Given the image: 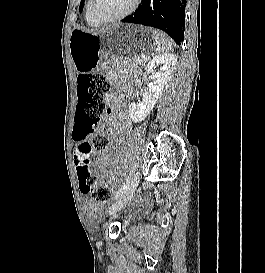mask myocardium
<instances>
[{
  "label": "myocardium",
  "instance_id": "obj_1",
  "mask_svg": "<svg viewBox=\"0 0 265 273\" xmlns=\"http://www.w3.org/2000/svg\"><path fill=\"white\" fill-rule=\"evenodd\" d=\"M140 1L141 0H134L131 7L128 10H126L125 12H123L117 16L110 17V18H102L95 13L94 6L96 3V0H89L88 12H89L90 16L99 24L114 23V22L123 20V19L127 18L128 16H130L137 9V7L140 4Z\"/></svg>",
  "mask_w": 265,
  "mask_h": 273
}]
</instances>
